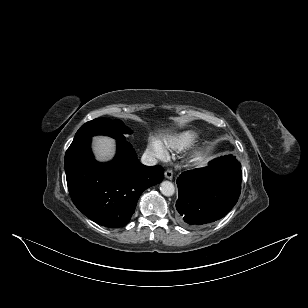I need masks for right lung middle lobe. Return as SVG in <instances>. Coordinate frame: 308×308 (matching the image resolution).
I'll return each mask as SVG.
<instances>
[{
  "label": "right lung middle lobe",
  "mask_w": 308,
  "mask_h": 308,
  "mask_svg": "<svg viewBox=\"0 0 308 308\" xmlns=\"http://www.w3.org/2000/svg\"><path fill=\"white\" fill-rule=\"evenodd\" d=\"M131 133L132 130L120 120L96 118L82 125L77 131L74 140L84 137H92L98 134L107 135L116 140H124V135Z\"/></svg>",
  "instance_id": "right-lung-middle-lobe-1"
}]
</instances>
